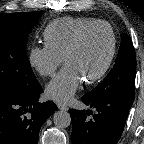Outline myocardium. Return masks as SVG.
I'll use <instances>...</instances> for the list:
<instances>
[{
  "label": "myocardium",
  "instance_id": "myocardium-1",
  "mask_svg": "<svg viewBox=\"0 0 144 144\" xmlns=\"http://www.w3.org/2000/svg\"><path fill=\"white\" fill-rule=\"evenodd\" d=\"M100 27H106L109 29L110 34H111V49H110V53L108 55L106 62L103 65V67L100 69V71L97 74H95L94 76H92L88 79H85L84 82L86 84H93V83H96L99 80H101L108 72V70L114 60L116 50H117V37H116V33H115L113 27L111 26V24H109L106 21H99V22H96V23H93V24H90V25L84 27L77 33V35L75 36V38L73 39V41L71 42L69 47L67 48L66 53L64 55V61H65V63H67L70 56L78 49V47L82 43L85 36L89 32H91L97 28H100Z\"/></svg>",
  "mask_w": 144,
  "mask_h": 144
}]
</instances>
